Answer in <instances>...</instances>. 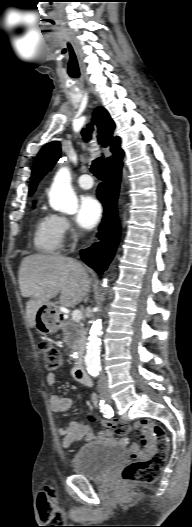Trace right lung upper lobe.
<instances>
[{
    "mask_svg": "<svg viewBox=\"0 0 192 527\" xmlns=\"http://www.w3.org/2000/svg\"><path fill=\"white\" fill-rule=\"evenodd\" d=\"M93 115L92 120L96 122L103 146H110L111 152L115 154V156L106 159L105 166H108L123 155V151L120 149V140L118 137L113 138L112 135L115 125L108 112L103 107L96 108ZM92 130V125H88V129H83L82 134L86 141L90 139ZM60 154V143L57 141L46 144L40 150L32 168L29 196L34 193L41 178L54 166L55 162L60 157Z\"/></svg>",
    "mask_w": 192,
    "mask_h": 527,
    "instance_id": "obj_1",
    "label": "right lung upper lobe"
}]
</instances>
